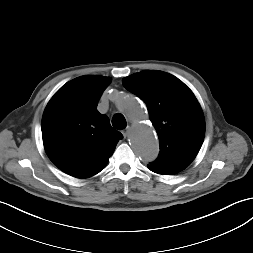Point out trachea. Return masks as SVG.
I'll use <instances>...</instances> for the list:
<instances>
[{"instance_id":"3493384b","label":"trachea","mask_w":253,"mask_h":253,"mask_svg":"<svg viewBox=\"0 0 253 253\" xmlns=\"http://www.w3.org/2000/svg\"><path fill=\"white\" fill-rule=\"evenodd\" d=\"M112 125L118 130L124 129L127 125L125 117L120 113L115 114L112 118Z\"/></svg>"}]
</instances>
